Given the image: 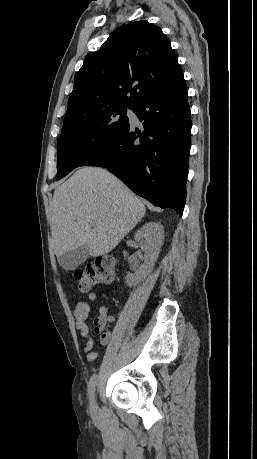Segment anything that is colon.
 <instances>
[{"mask_svg": "<svg viewBox=\"0 0 257 459\" xmlns=\"http://www.w3.org/2000/svg\"><path fill=\"white\" fill-rule=\"evenodd\" d=\"M115 276V259L112 256H103L77 269L74 277L82 291L111 281Z\"/></svg>", "mask_w": 257, "mask_h": 459, "instance_id": "1", "label": "colon"}]
</instances>
